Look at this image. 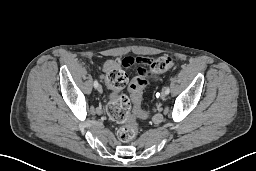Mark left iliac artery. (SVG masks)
<instances>
[{"mask_svg": "<svg viewBox=\"0 0 256 171\" xmlns=\"http://www.w3.org/2000/svg\"><path fill=\"white\" fill-rule=\"evenodd\" d=\"M165 92H166V94H169V92H170L169 87H165Z\"/></svg>", "mask_w": 256, "mask_h": 171, "instance_id": "1", "label": "left iliac artery"}]
</instances>
